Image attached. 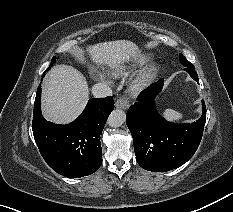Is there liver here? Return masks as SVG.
<instances>
[{
	"mask_svg": "<svg viewBox=\"0 0 233 212\" xmlns=\"http://www.w3.org/2000/svg\"><path fill=\"white\" fill-rule=\"evenodd\" d=\"M86 51L98 65L117 67L139 53L138 46L129 40L102 42L87 47ZM89 99L85 77L75 68L56 65L42 85V113L46 120L66 124L73 121Z\"/></svg>",
	"mask_w": 233,
	"mask_h": 212,
	"instance_id": "1",
	"label": "liver"
}]
</instances>
